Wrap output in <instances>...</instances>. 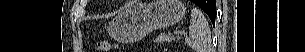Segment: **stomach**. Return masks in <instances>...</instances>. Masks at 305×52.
Returning <instances> with one entry per match:
<instances>
[{"instance_id":"stomach-1","label":"stomach","mask_w":305,"mask_h":52,"mask_svg":"<svg viewBox=\"0 0 305 52\" xmlns=\"http://www.w3.org/2000/svg\"><path fill=\"white\" fill-rule=\"evenodd\" d=\"M185 12L180 0L136 2L110 21L108 33L119 42L138 41L155 29L178 23Z\"/></svg>"}]
</instances>
